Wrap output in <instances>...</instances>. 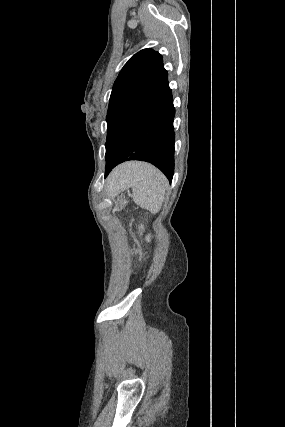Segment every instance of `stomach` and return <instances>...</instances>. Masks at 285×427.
<instances>
[{
  "mask_svg": "<svg viewBox=\"0 0 285 427\" xmlns=\"http://www.w3.org/2000/svg\"><path fill=\"white\" fill-rule=\"evenodd\" d=\"M128 201L124 195L118 196L115 200L116 210L120 211L127 205Z\"/></svg>",
  "mask_w": 285,
  "mask_h": 427,
  "instance_id": "1",
  "label": "stomach"
}]
</instances>
